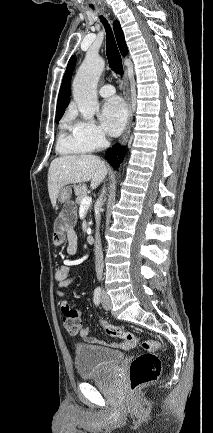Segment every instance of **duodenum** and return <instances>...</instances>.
<instances>
[{"label":"duodenum","mask_w":213,"mask_h":433,"mask_svg":"<svg viewBox=\"0 0 213 433\" xmlns=\"http://www.w3.org/2000/svg\"><path fill=\"white\" fill-rule=\"evenodd\" d=\"M87 241H88L89 244H94L95 243L94 236H92V235L88 236Z\"/></svg>","instance_id":"410a0bca"}]
</instances>
